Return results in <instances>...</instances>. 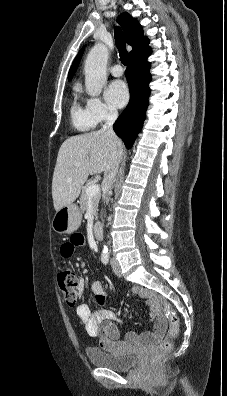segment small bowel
Segmentation results:
<instances>
[{
    "label": "small bowel",
    "mask_w": 227,
    "mask_h": 396,
    "mask_svg": "<svg viewBox=\"0 0 227 396\" xmlns=\"http://www.w3.org/2000/svg\"><path fill=\"white\" fill-rule=\"evenodd\" d=\"M84 244V237L81 234H73L71 239L61 247L64 257H70L77 247ZM85 290L84 279L78 280V293L81 296ZM92 291L95 294L98 304L103 305L106 300V291L100 281L92 284ZM132 293L144 298L149 306V313L153 322V330L141 334L129 332L124 341L120 340V330L116 325L117 315L108 309H98L92 312L87 304H79L76 307L77 317L85 324L87 333L92 337H97L100 347L106 351H114L123 345H156L165 335L167 325L160 315V308L157 298L149 289L134 285Z\"/></svg>",
    "instance_id": "small-bowel-1"
}]
</instances>
